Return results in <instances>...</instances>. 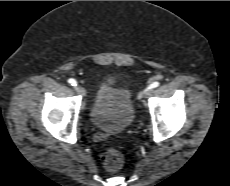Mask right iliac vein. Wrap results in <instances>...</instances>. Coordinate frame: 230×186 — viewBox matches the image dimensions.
Returning <instances> with one entry per match:
<instances>
[{"label": "right iliac vein", "instance_id": "63e3f726", "mask_svg": "<svg viewBox=\"0 0 230 186\" xmlns=\"http://www.w3.org/2000/svg\"><path fill=\"white\" fill-rule=\"evenodd\" d=\"M75 90H76V92H77L78 94H80L81 96H83V97L86 96V91H85V89H84L82 86H80V85L76 86V87H75Z\"/></svg>", "mask_w": 230, "mask_h": 186}]
</instances>
